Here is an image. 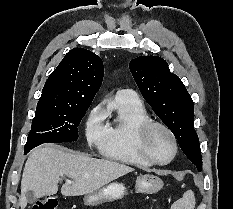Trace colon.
I'll return each mask as SVG.
<instances>
[{
    "mask_svg": "<svg viewBox=\"0 0 233 209\" xmlns=\"http://www.w3.org/2000/svg\"><path fill=\"white\" fill-rule=\"evenodd\" d=\"M58 201L56 198H47L38 201L33 205L32 209H57Z\"/></svg>",
    "mask_w": 233,
    "mask_h": 209,
    "instance_id": "1",
    "label": "colon"
}]
</instances>
